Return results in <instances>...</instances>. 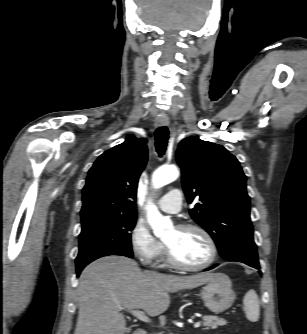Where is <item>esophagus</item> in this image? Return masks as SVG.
I'll list each match as a JSON object with an SVG mask.
<instances>
[{
  "label": "esophagus",
  "mask_w": 307,
  "mask_h": 334,
  "mask_svg": "<svg viewBox=\"0 0 307 334\" xmlns=\"http://www.w3.org/2000/svg\"><path fill=\"white\" fill-rule=\"evenodd\" d=\"M168 125H169V119L167 116H160L155 120L156 127L168 126Z\"/></svg>",
  "instance_id": "esophagus-1"
}]
</instances>
